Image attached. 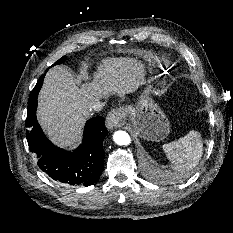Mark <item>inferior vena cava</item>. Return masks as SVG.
Masks as SVG:
<instances>
[{
	"label": "inferior vena cava",
	"instance_id": "1",
	"mask_svg": "<svg viewBox=\"0 0 233 233\" xmlns=\"http://www.w3.org/2000/svg\"><path fill=\"white\" fill-rule=\"evenodd\" d=\"M103 107H104V102H102L101 100H96L91 106L92 110L97 112L101 111Z\"/></svg>",
	"mask_w": 233,
	"mask_h": 233
}]
</instances>
